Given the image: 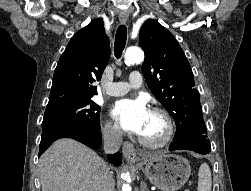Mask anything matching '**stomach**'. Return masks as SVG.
I'll return each mask as SVG.
<instances>
[{
	"label": "stomach",
	"instance_id": "stomach-1",
	"mask_svg": "<svg viewBox=\"0 0 251 191\" xmlns=\"http://www.w3.org/2000/svg\"><path fill=\"white\" fill-rule=\"evenodd\" d=\"M143 161L137 167H144V173L151 183L162 191H177L190 177L191 165L185 157L162 151L157 155H142Z\"/></svg>",
	"mask_w": 251,
	"mask_h": 191
}]
</instances>
